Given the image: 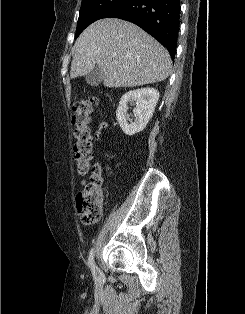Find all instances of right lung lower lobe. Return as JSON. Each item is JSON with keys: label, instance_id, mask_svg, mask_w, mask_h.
<instances>
[{"label": "right lung lower lobe", "instance_id": "98d812e1", "mask_svg": "<svg viewBox=\"0 0 245 314\" xmlns=\"http://www.w3.org/2000/svg\"><path fill=\"white\" fill-rule=\"evenodd\" d=\"M103 18H120L138 25L164 45L174 59L180 0H128Z\"/></svg>", "mask_w": 245, "mask_h": 314}]
</instances>
